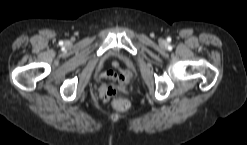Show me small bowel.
<instances>
[{
	"label": "small bowel",
	"instance_id": "obj_1",
	"mask_svg": "<svg viewBox=\"0 0 247 145\" xmlns=\"http://www.w3.org/2000/svg\"><path fill=\"white\" fill-rule=\"evenodd\" d=\"M112 66L114 68H119V64L117 62H113ZM132 77V72L127 69H120L119 73L116 74L112 71H107L104 73H101L99 75V80L109 79L112 81H115L117 84L113 86L115 90L122 91L124 90L125 86L128 84L129 80ZM107 89L105 87H102V98L103 101L107 102L110 98V95L107 94Z\"/></svg>",
	"mask_w": 247,
	"mask_h": 145
}]
</instances>
